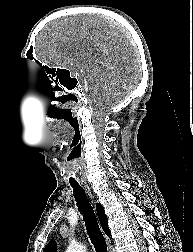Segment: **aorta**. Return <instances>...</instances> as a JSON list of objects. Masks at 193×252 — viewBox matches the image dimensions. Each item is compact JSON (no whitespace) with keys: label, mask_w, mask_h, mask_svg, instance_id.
Instances as JSON below:
<instances>
[{"label":"aorta","mask_w":193,"mask_h":252,"mask_svg":"<svg viewBox=\"0 0 193 252\" xmlns=\"http://www.w3.org/2000/svg\"><path fill=\"white\" fill-rule=\"evenodd\" d=\"M66 252H86V247L76 241H71Z\"/></svg>","instance_id":"obj_1"}]
</instances>
